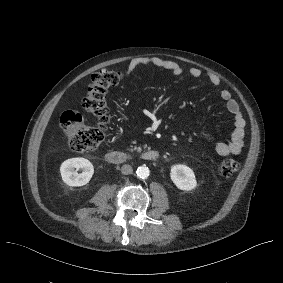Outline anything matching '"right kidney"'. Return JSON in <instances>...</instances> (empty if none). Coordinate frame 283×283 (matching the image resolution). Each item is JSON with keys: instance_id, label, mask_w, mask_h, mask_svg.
Instances as JSON below:
<instances>
[{"instance_id": "1", "label": "right kidney", "mask_w": 283, "mask_h": 283, "mask_svg": "<svg viewBox=\"0 0 283 283\" xmlns=\"http://www.w3.org/2000/svg\"><path fill=\"white\" fill-rule=\"evenodd\" d=\"M76 170H82V173H77ZM62 180L69 186L86 185L94 174L93 164L82 157L71 158L64 161L60 167Z\"/></svg>"}]
</instances>
